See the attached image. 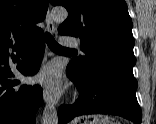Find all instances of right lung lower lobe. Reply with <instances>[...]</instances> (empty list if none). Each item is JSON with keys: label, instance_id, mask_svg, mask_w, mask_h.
I'll list each match as a JSON object with an SVG mask.
<instances>
[{"label": "right lung lower lobe", "instance_id": "obj_1", "mask_svg": "<svg viewBox=\"0 0 156 124\" xmlns=\"http://www.w3.org/2000/svg\"><path fill=\"white\" fill-rule=\"evenodd\" d=\"M41 32L37 37L21 45L0 47V124H35V114L42 102V89L39 85L33 87L19 84L10 67L9 58L19 64L17 69L23 75H34L38 72L43 57L45 45ZM16 51L17 55H10Z\"/></svg>", "mask_w": 156, "mask_h": 124}]
</instances>
